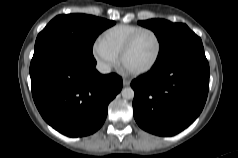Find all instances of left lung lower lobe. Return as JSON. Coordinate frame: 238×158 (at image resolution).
Returning <instances> with one entry per match:
<instances>
[{
  "mask_svg": "<svg viewBox=\"0 0 238 158\" xmlns=\"http://www.w3.org/2000/svg\"><path fill=\"white\" fill-rule=\"evenodd\" d=\"M209 64L202 42L156 62L131 82L137 124L152 134L172 136L201 113L209 90Z\"/></svg>",
  "mask_w": 238,
  "mask_h": 158,
  "instance_id": "obj_1",
  "label": "left lung lower lobe"
}]
</instances>
